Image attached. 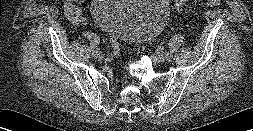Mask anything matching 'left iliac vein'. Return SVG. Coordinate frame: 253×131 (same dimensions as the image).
<instances>
[{
	"instance_id": "4c4485c4",
	"label": "left iliac vein",
	"mask_w": 253,
	"mask_h": 131,
	"mask_svg": "<svg viewBox=\"0 0 253 131\" xmlns=\"http://www.w3.org/2000/svg\"><path fill=\"white\" fill-rule=\"evenodd\" d=\"M154 58L159 62H164L166 60H171L172 54L171 53H163V52L158 51L154 54Z\"/></svg>"
}]
</instances>
